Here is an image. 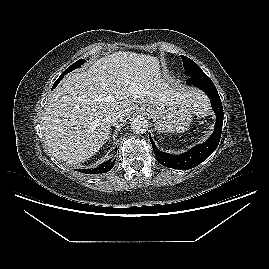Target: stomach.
I'll use <instances>...</instances> for the list:
<instances>
[{"label":"stomach","instance_id":"stomach-1","mask_svg":"<svg viewBox=\"0 0 269 269\" xmlns=\"http://www.w3.org/2000/svg\"><path fill=\"white\" fill-rule=\"evenodd\" d=\"M140 110L155 121V128L162 133H183L192 122L193 110L185 105L154 107L142 104Z\"/></svg>","mask_w":269,"mask_h":269}]
</instances>
